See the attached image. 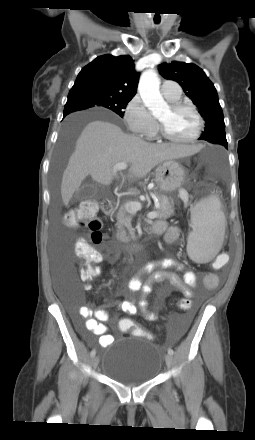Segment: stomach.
Here are the masks:
<instances>
[{
    "label": "stomach",
    "instance_id": "stomach-1",
    "mask_svg": "<svg viewBox=\"0 0 255 440\" xmlns=\"http://www.w3.org/2000/svg\"><path fill=\"white\" fill-rule=\"evenodd\" d=\"M185 170L177 161L167 160L155 172V182L163 192H172L184 183Z\"/></svg>",
    "mask_w": 255,
    "mask_h": 440
}]
</instances>
